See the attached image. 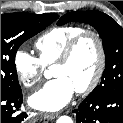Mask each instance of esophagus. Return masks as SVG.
<instances>
[{
	"instance_id": "esophagus-1",
	"label": "esophagus",
	"mask_w": 123,
	"mask_h": 123,
	"mask_svg": "<svg viewBox=\"0 0 123 123\" xmlns=\"http://www.w3.org/2000/svg\"><path fill=\"white\" fill-rule=\"evenodd\" d=\"M41 116L44 119L52 120V119L56 118L58 116V114H54V113H41Z\"/></svg>"
}]
</instances>
